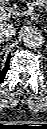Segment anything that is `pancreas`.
Instances as JSON below:
<instances>
[{"label": "pancreas", "instance_id": "1", "mask_svg": "<svg viewBox=\"0 0 47 129\" xmlns=\"http://www.w3.org/2000/svg\"><path fill=\"white\" fill-rule=\"evenodd\" d=\"M23 1H25V0H23ZM32 4H36V5H39V6L46 8L47 7V0H34V2Z\"/></svg>", "mask_w": 47, "mask_h": 129}]
</instances>
